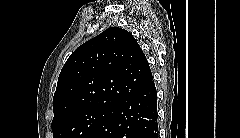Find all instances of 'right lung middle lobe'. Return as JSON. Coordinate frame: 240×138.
Wrapping results in <instances>:
<instances>
[{"instance_id":"dd1d6c3e","label":"right lung middle lobe","mask_w":240,"mask_h":138,"mask_svg":"<svg viewBox=\"0 0 240 138\" xmlns=\"http://www.w3.org/2000/svg\"><path fill=\"white\" fill-rule=\"evenodd\" d=\"M107 110L85 109L52 121L53 138H89Z\"/></svg>"}]
</instances>
